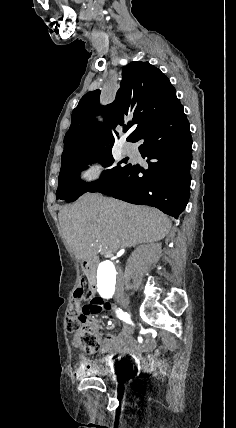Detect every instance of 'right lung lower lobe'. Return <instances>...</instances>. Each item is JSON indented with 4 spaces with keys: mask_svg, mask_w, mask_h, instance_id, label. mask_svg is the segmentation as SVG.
I'll return each instance as SVG.
<instances>
[{
    "mask_svg": "<svg viewBox=\"0 0 236 428\" xmlns=\"http://www.w3.org/2000/svg\"><path fill=\"white\" fill-rule=\"evenodd\" d=\"M138 141L142 142L139 151L147 158L148 167L128 164L97 192L153 206L178 218L190 196L192 161V138L183 106L142 128L131 140Z\"/></svg>",
    "mask_w": 236,
    "mask_h": 428,
    "instance_id": "right-lung-lower-lobe-1",
    "label": "right lung lower lobe"
}]
</instances>
